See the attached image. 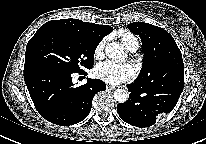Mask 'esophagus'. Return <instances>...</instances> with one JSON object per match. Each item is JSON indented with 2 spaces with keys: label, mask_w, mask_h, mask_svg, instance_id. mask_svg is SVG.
Listing matches in <instances>:
<instances>
[{
  "label": "esophagus",
  "mask_w": 206,
  "mask_h": 144,
  "mask_svg": "<svg viewBox=\"0 0 206 144\" xmlns=\"http://www.w3.org/2000/svg\"><path fill=\"white\" fill-rule=\"evenodd\" d=\"M107 89H109V90H115L116 87H115V86H112V85H107Z\"/></svg>",
  "instance_id": "34e87169"
}]
</instances>
